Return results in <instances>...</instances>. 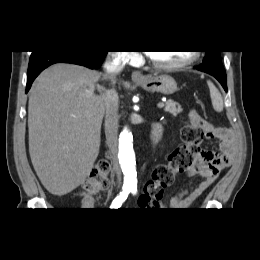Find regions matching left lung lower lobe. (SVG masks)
<instances>
[{
  "label": "left lung lower lobe",
  "instance_id": "1",
  "mask_svg": "<svg viewBox=\"0 0 260 260\" xmlns=\"http://www.w3.org/2000/svg\"><path fill=\"white\" fill-rule=\"evenodd\" d=\"M197 70L208 73L215 77L227 91V78L224 67L221 62L211 61L208 63H202L195 67Z\"/></svg>",
  "mask_w": 260,
  "mask_h": 260
}]
</instances>
